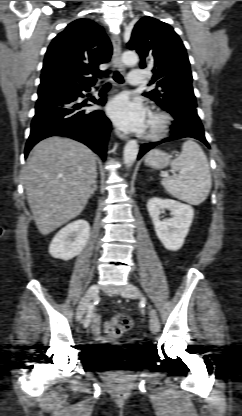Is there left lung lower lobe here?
<instances>
[{"instance_id":"left-lung-lower-lobe-1","label":"left lung lower lobe","mask_w":242,"mask_h":416,"mask_svg":"<svg viewBox=\"0 0 242 416\" xmlns=\"http://www.w3.org/2000/svg\"><path fill=\"white\" fill-rule=\"evenodd\" d=\"M175 118V117H174ZM172 135L168 138L163 139L159 142L146 143L140 147V152L138 159H140L146 152L151 150L153 147L169 141H174L177 139L191 137L203 142L207 147L209 144L204 136V130L201 122L194 115H188L182 118H175L173 125L171 126Z\"/></svg>"}]
</instances>
